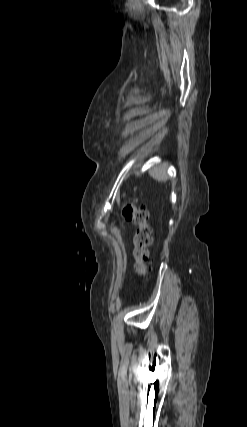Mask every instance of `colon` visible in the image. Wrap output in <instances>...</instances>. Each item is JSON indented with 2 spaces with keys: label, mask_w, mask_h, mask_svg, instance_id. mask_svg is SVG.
<instances>
[{
  "label": "colon",
  "mask_w": 247,
  "mask_h": 427,
  "mask_svg": "<svg viewBox=\"0 0 247 427\" xmlns=\"http://www.w3.org/2000/svg\"><path fill=\"white\" fill-rule=\"evenodd\" d=\"M126 221L136 226L133 243L134 269L139 276H144L148 270L149 248L152 244V230L148 224L149 213L144 207L127 202L122 211Z\"/></svg>",
  "instance_id": "colon-1"
}]
</instances>
